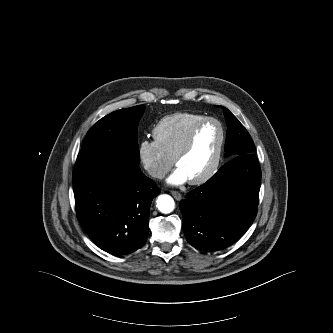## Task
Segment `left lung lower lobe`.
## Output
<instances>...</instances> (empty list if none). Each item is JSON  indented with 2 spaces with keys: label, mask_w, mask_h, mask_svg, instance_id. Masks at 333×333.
Returning <instances> with one entry per match:
<instances>
[{
  "label": "left lung lower lobe",
  "mask_w": 333,
  "mask_h": 333,
  "mask_svg": "<svg viewBox=\"0 0 333 333\" xmlns=\"http://www.w3.org/2000/svg\"><path fill=\"white\" fill-rule=\"evenodd\" d=\"M260 181L261 170L255 155L241 154L190 191L179 205L187 241L208 252L236 242L256 217Z\"/></svg>",
  "instance_id": "left-lung-lower-lobe-1"
}]
</instances>
